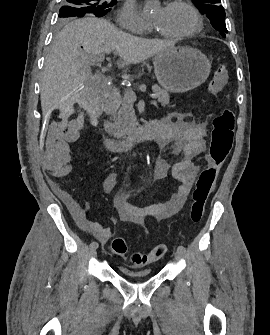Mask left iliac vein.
Returning a JSON list of instances; mask_svg holds the SVG:
<instances>
[{"label": "left iliac vein", "mask_w": 270, "mask_h": 335, "mask_svg": "<svg viewBox=\"0 0 270 335\" xmlns=\"http://www.w3.org/2000/svg\"><path fill=\"white\" fill-rule=\"evenodd\" d=\"M174 256L177 259H181L183 257V253L177 250L174 252Z\"/></svg>", "instance_id": "left-iliac-vein-1"}]
</instances>
